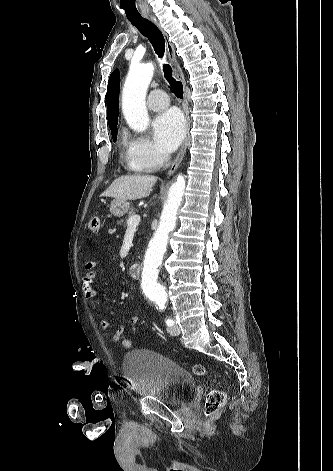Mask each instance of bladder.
<instances>
[{"instance_id":"31cf9c89","label":"bladder","mask_w":333,"mask_h":471,"mask_svg":"<svg viewBox=\"0 0 333 471\" xmlns=\"http://www.w3.org/2000/svg\"><path fill=\"white\" fill-rule=\"evenodd\" d=\"M123 375L133 392L167 405H181L194 392L192 374L167 356L152 350H134L123 359Z\"/></svg>"}]
</instances>
